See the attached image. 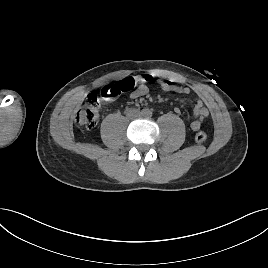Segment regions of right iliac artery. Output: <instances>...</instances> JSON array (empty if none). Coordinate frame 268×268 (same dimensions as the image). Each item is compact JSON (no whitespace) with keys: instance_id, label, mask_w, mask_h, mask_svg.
Instances as JSON below:
<instances>
[{"instance_id":"1","label":"right iliac artery","mask_w":268,"mask_h":268,"mask_svg":"<svg viewBox=\"0 0 268 268\" xmlns=\"http://www.w3.org/2000/svg\"><path fill=\"white\" fill-rule=\"evenodd\" d=\"M146 113H147V109H143L142 114H146Z\"/></svg>"}]
</instances>
